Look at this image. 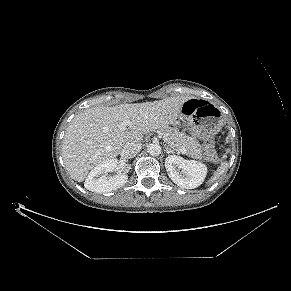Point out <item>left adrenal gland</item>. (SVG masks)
Returning a JSON list of instances; mask_svg holds the SVG:
<instances>
[{"mask_svg":"<svg viewBox=\"0 0 291 291\" xmlns=\"http://www.w3.org/2000/svg\"><path fill=\"white\" fill-rule=\"evenodd\" d=\"M165 149V152L167 153V154H169V153H175V151L174 150H172L171 148H169L168 146H166L165 145V147H164Z\"/></svg>","mask_w":291,"mask_h":291,"instance_id":"1","label":"left adrenal gland"}]
</instances>
